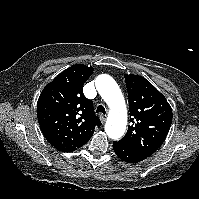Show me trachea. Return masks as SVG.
Wrapping results in <instances>:
<instances>
[{
	"label": "trachea",
	"instance_id": "trachea-1",
	"mask_svg": "<svg viewBox=\"0 0 199 199\" xmlns=\"http://www.w3.org/2000/svg\"><path fill=\"white\" fill-rule=\"evenodd\" d=\"M96 112H97V113H102V114H104V115H105V113H106L105 108H104V106H102V105H99V106L97 107Z\"/></svg>",
	"mask_w": 199,
	"mask_h": 199
}]
</instances>
